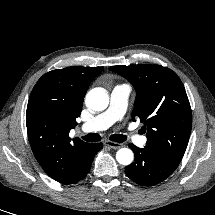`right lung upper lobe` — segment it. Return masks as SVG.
I'll return each instance as SVG.
<instances>
[{"label":"right lung upper lobe","mask_w":215,"mask_h":215,"mask_svg":"<svg viewBox=\"0 0 215 215\" xmlns=\"http://www.w3.org/2000/svg\"><path fill=\"white\" fill-rule=\"evenodd\" d=\"M103 67L72 66L44 74L34 86L27 105L26 125L32 151L54 180L71 184L92 143L71 139L90 82Z\"/></svg>","instance_id":"obj_1"}]
</instances>
